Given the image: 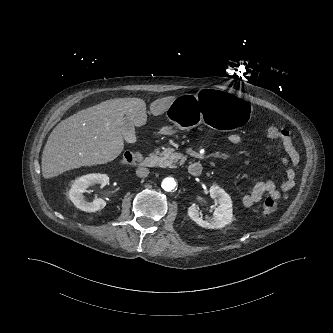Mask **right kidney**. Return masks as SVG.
I'll return each mask as SVG.
<instances>
[{"label": "right kidney", "mask_w": 333, "mask_h": 333, "mask_svg": "<svg viewBox=\"0 0 333 333\" xmlns=\"http://www.w3.org/2000/svg\"><path fill=\"white\" fill-rule=\"evenodd\" d=\"M109 183V177L106 174L93 173L83 175L75 180L69 190V198L73 204L82 211L96 212L106 206V202L101 198H95L92 202L83 200V193L93 184H100L104 187Z\"/></svg>", "instance_id": "1"}]
</instances>
